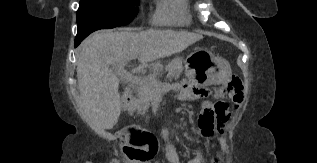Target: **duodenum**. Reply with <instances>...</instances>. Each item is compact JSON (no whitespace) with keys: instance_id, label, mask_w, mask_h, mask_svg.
<instances>
[{"instance_id":"410a0bca","label":"duodenum","mask_w":317,"mask_h":163,"mask_svg":"<svg viewBox=\"0 0 317 163\" xmlns=\"http://www.w3.org/2000/svg\"><path fill=\"white\" fill-rule=\"evenodd\" d=\"M134 99V94L132 91H127L122 97V104L124 108H128Z\"/></svg>"}]
</instances>
